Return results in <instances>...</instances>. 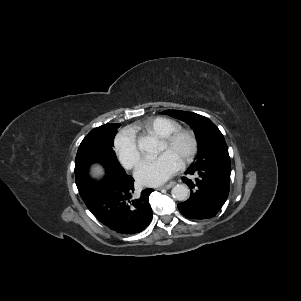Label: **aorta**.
<instances>
[{
	"instance_id": "1",
	"label": "aorta",
	"mask_w": 301,
	"mask_h": 301,
	"mask_svg": "<svg viewBox=\"0 0 301 301\" xmlns=\"http://www.w3.org/2000/svg\"><path fill=\"white\" fill-rule=\"evenodd\" d=\"M154 140L150 137H141L138 140V147L140 150L143 151H150L154 147ZM171 194L174 199L178 201H185L189 198V189L184 184H177L171 190Z\"/></svg>"
}]
</instances>
